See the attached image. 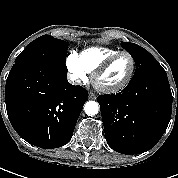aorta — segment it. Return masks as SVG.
I'll use <instances>...</instances> for the list:
<instances>
[{"instance_id": "762f6f07", "label": "aorta", "mask_w": 178, "mask_h": 178, "mask_svg": "<svg viewBox=\"0 0 178 178\" xmlns=\"http://www.w3.org/2000/svg\"><path fill=\"white\" fill-rule=\"evenodd\" d=\"M84 111L88 116H94L99 111V105L95 101H88L84 105Z\"/></svg>"}]
</instances>
